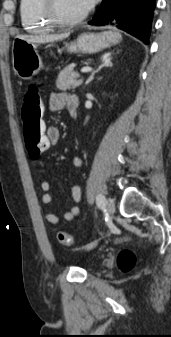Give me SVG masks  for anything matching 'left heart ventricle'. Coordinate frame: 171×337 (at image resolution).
Masks as SVG:
<instances>
[{
  "instance_id": "b2bd125f",
  "label": "left heart ventricle",
  "mask_w": 171,
  "mask_h": 337,
  "mask_svg": "<svg viewBox=\"0 0 171 337\" xmlns=\"http://www.w3.org/2000/svg\"><path fill=\"white\" fill-rule=\"evenodd\" d=\"M57 9L65 18L76 17L86 10L81 0H57Z\"/></svg>"
}]
</instances>
